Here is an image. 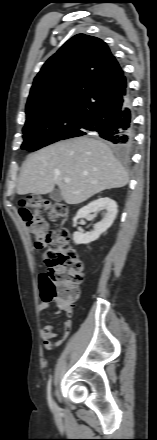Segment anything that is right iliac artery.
Returning a JSON list of instances; mask_svg holds the SVG:
<instances>
[{
    "label": "right iliac artery",
    "instance_id": "82829eb1",
    "mask_svg": "<svg viewBox=\"0 0 157 440\" xmlns=\"http://www.w3.org/2000/svg\"><path fill=\"white\" fill-rule=\"evenodd\" d=\"M47 391H48V404H49L51 410L54 411L55 408H54V404H53V400H52V396H51V379L48 382Z\"/></svg>",
    "mask_w": 157,
    "mask_h": 440
}]
</instances>
